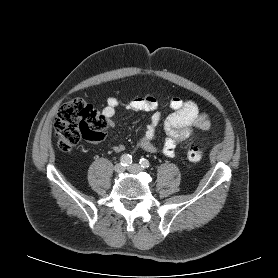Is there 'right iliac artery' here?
<instances>
[{"instance_id":"82829eb1","label":"right iliac artery","mask_w":278,"mask_h":278,"mask_svg":"<svg viewBox=\"0 0 278 278\" xmlns=\"http://www.w3.org/2000/svg\"><path fill=\"white\" fill-rule=\"evenodd\" d=\"M120 163L122 166L126 167L132 163V156L129 154H124L121 156Z\"/></svg>"}]
</instances>
